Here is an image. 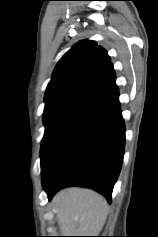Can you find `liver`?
Wrapping results in <instances>:
<instances>
[{
  "label": "liver",
  "instance_id": "1",
  "mask_svg": "<svg viewBox=\"0 0 158 237\" xmlns=\"http://www.w3.org/2000/svg\"><path fill=\"white\" fill-rule=\"evenodd\" d=\"M63 236H96L108 214V204L98 193L84 188H68L53 199Z\"/></svg>",
  "mask_w": 158,
  "mask_h": 237
}]
</instances>
